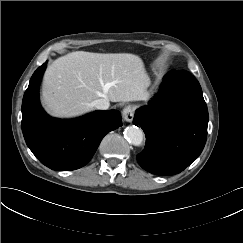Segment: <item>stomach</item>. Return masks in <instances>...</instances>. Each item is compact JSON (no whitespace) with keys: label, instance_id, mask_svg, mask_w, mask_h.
Instances as JSON below:
<instances>
[{"label":"stomach","instance_id":"0dacf381","mask_svg":"<svg viewBox=\"0 0 243 243\" xmlns=\"http://www.w3.org/2000/svg\"><path fill=\"white\" fill-rule=\"evenodd\" d=\"M149 85H150V79L147 77L144 82V88H145V92H146L145 98L148 96L147 89H148Z\"/></svg>","mask_w":243,"mask_h":243}]
</instances>
